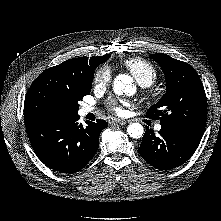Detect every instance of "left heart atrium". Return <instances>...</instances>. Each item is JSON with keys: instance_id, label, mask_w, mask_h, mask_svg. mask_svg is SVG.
Returning <instances> with one entry per match:
<instances>
[{"instance_id": "left-heart-atrium-1", "label": "left heart atrium", "mask_w": 221, "mask_h": 221, "mask_svg": "<svg viewBox=\"0 0 221 221\" xmlns=\"http://www.w3.org/2000/svg\"><path fill=\"white\" fill-rule=\"evenodd\" d=\"M123 105H125V103L123 101H116V100L109 101L110 109L117 115L124 114Z\"/></svg>"}]
</instances>
